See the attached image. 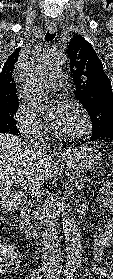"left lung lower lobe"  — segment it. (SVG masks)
<instances>
[{
    "mask_svg": "<svg viewBox=\"0 0 113 279\" xmlns=\"http://www.w3.org/2000/svg\"><path fill=\"white\" fill-rule=\"evenodd\" d=\"M112 140L113 139V129L109 128L105 132H101L99 134H92L90 139L86 140L87 141H100V140Z\"/></svg>",
    "mask_w": 113,
    "mask_h": 279,
    "instance_id": "left-lung-lower-lobe-1",
    "label": "left lung lower lobe"
}]
</instances>
